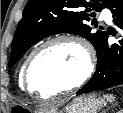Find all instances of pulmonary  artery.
<instances>
[{"label": "pulmonary artery", "instance_id": "obj_1", "mask_svg": "<svg viewBox=\"0 0 123 113\" xmlns=\"http://www.w3.org/2000/svg\"><path fill=\"white\" fill-rule=\"evenodd\" d=\"M101 17L106 20L108 23L112 22V15L111 12L108 9H105L101 13Z\"/></svg>", "mask_w": 123, "mask_h": 113}]
</instances>
